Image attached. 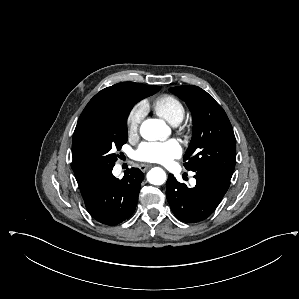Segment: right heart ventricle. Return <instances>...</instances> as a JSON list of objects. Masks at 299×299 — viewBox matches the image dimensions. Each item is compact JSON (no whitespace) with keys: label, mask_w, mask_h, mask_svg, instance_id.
I'll list each match as a JSON object with an SVG mask.
<instances>
[{"label":"right heart ventricle","mask_w":299,"mask_h":299,"mask_svg":"<svg viewBox=\"0 0 299 299\" xmlns=\"http://www.w3.org/2000/svg\"><path fill=\"white\" fill-rule=\"evenodd\" d=\"M152 107L155 112L172 125L179 124L185 116V108L180 99L171 94L157 97Z\"/></svg>","instance_id":"e07e8e85"}]
</instances>
